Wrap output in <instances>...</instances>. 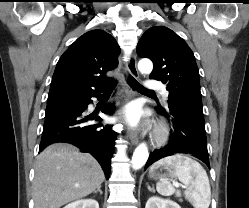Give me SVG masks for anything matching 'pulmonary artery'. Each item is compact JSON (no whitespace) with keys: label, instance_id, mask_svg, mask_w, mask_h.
<instances>
[{"label":"pulmonary artery","instance_id":"e3ab8cb5","mask_svg":"<svg viewBox=\"0 0 249 208\" xmlns=\"http://www.w3.org/2000/svg\"><path fill=\"white\" fill-rule=\"evenodd\" d=\"M144 86L147 90H150V91H154V90L160 91V93L163 96L164 101H167L169 93L161 83L148 79L145 81Z\"/></svg>","mask_w":249,"mask_h":208}]
</instances>
